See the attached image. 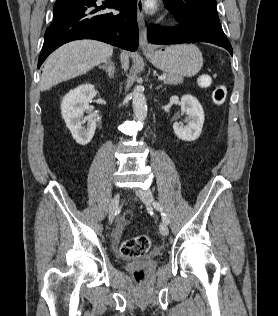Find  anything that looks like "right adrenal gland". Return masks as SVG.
<instances>
[{
  "label": "right adrenal gland",
  "instance_id": "right-adrenal-gland-1",
  "mask_svg": "<svg viewBox=\"0 0 278 316\" xmlns=\"http://www.w3.org/2000/svg\"><path fill=\"white\" fill-rule=\"evenodd\" d=\"M99 68L103 69L110 79L114 77L115 65L110 59L100 65Z\"/></svg>",
  "mask_w": 278,
  "mask_h": 316
}]
</instances>
